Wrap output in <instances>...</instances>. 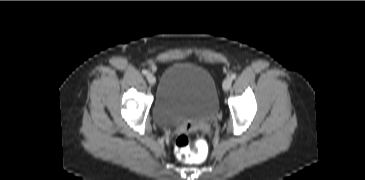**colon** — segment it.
Returning <instances> with one entry per match:
<instances>
[{"instance_id": "5ec220e1", "label": "colon", "mask_w": 365, "mask_h": 180, "mask_svg": "<svg viewBox=\"0 0 365 180\" xmlns=\"http://www.w3.org/2000/svg\"><path fill=\"white\" fill-rule=\"evenodd\" d=\"M174 151L181 161L190 164H200L207 160L209 147L201 139L192 143L187 133H181L174 141Z\"/></svg>"}]
</instances>
